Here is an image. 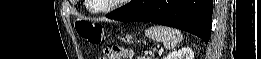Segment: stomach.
I'll return each mask as SVG.
<instances>
[{
    "mask_svg": "<svg viewBox=\"0 0 261 59\" xmlns=\"http://www.w3.org/2000/svg\"><path fill=\"white\" fill-rule=\"evenodd\" d=\"M131 39V36H129V35H126L124 38H123V40H130Z\"/></svg>",
    "mask_w": 261,
    "mask_h": 59,
    "instance_id": "0dacf381",
    "label": "stomach"
}]
</instances>
